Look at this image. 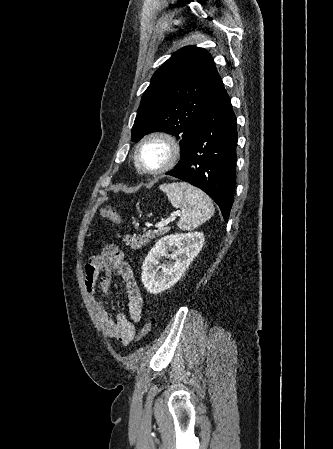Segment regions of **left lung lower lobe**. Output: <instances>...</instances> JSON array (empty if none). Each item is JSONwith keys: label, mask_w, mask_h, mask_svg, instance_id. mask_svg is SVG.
<instances>
[{"label": "left lung lower lobe", "mask_w": 333, "mask_h": 449, "mask_svg": "<svg viewBox=\"0 0 333 449\" xmlns=\"http://www.w3.org/2000/svg\"><path fill=\"white\" fill-rule=\"evenodd\" d=\"M236 146V117L223 89L194 133L184 162L166 173L206 192L225 221L234 200Z\"/></svg>", "instance_id": "obj_1"}]
</instances>
